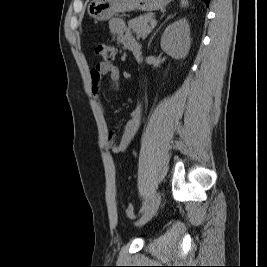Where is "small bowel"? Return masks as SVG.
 <instances>
[{"label":"small bowel","instance_id":"c3829d8e","mask_svg":"<svg viewBox=\"0 0 267 267\" xmlns=\"http://www.w3.org/2000/svg\"><path fill=\"white\" fill-rule=\"evenodd\" d=\"M109 29L112 34L118 37L121 44L132 54L137 62L142 60V51L140 43L131 35L126 27L125 20L122 18H115L110 21ZM92 93L94 99L100 108L101 112L105 114V109L100 95V83L105 75H109L114 86L118 85L120 79V72L118 68L110 63H98L91 70ZM141 106L134 110L131 118L124 125L121 138L119 142H115V131L110 130L107 135V142L111 151L115 154L124 153L140 124Z\"/></svg>","mask_w":267,"mask_h":267}]
</instances>
